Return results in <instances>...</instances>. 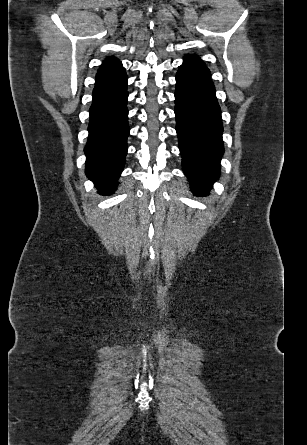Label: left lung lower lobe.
Wrapping results in <instances>:
<instances>
[{
  "instance_id": "1",
  "label": "left lung lower lobe",
  "mask_w": 307,
  "mask_h": 445,
  "mask_svg": "<svg viewBox=\"0 0 307 445\" xmlns=\"http://www.w3.org/2000/svg\"><path fill=\"white\" fill-rule=\"evenodd\" d=\"M175 104L183 171L205 196L219 174L223 126L210 71L197 57L185 56L177 72Z\"/></svg>"
}]
</instances>
